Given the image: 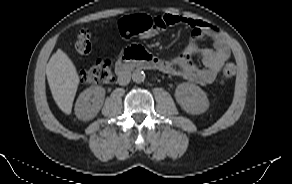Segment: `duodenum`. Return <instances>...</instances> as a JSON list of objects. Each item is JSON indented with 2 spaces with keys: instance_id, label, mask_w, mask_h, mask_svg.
<instances>
[{
  "instance_id": "410a0bca",
  "label": "duodenum",
  "mask_w": 292,
  "mask_h": 184,
  "mask_svg": "<svg viewBox=\"0 0 292 184\" xmlns=\"http://www.w3.org/2000/svg\"><path fill=\"white\" fill-rule=\"evenodd\" d=\"M131 68L164 71L165 62L149 54L143 48L134 47L124 52L123 56L116 62L115 72L117 76L123 77Z\"/></svg>"
}]
</instances>
